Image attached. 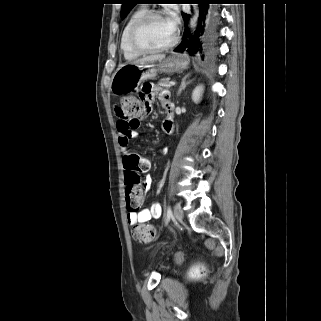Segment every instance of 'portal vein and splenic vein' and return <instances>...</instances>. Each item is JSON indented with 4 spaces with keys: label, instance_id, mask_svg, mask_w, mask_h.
<instances>
[{
    "label": "portal vein and splenic vein",
    "instance_id": "1",
    "mask_svg": "<svg viewBox=\"0 0 321 321\" xmlns=\"http://www.w3.org/2000/svg\"><path fill=\"white\" fill-rule=\"evenodd\" d=\"M176 83L174 82V81H171L170 83H169V85L170 86H174Z\"/></svg>",
    "mask_w": 321,
    "mask_h": 321
}]
</instances>
